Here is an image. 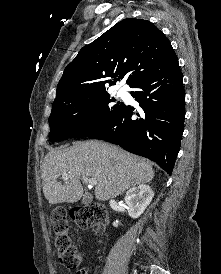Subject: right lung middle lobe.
<instances>
[{"mask_svg":"<svg viewBox=\"0 0 221 274\" xmlns=\"http://www.w3.org/2000/svg\"><path fill=\"white\" fill-rule=\"evenodd\" d=\"M102 93L85 98L65 99L52 105L49 117L51 142L69 137H89L109 124L125 105Z\"/></svg>","mask_w":221,"mask_h":274,"instance_id":"obj_1","label":"right lung middle lobe"}]
</instances>
